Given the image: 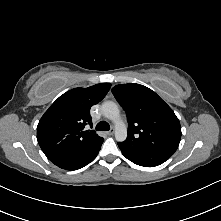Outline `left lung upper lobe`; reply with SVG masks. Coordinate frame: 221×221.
Masks as SVG:
<instances>
[{
	"instance_id": "1",
	"label": "left lung upper lobe",
	"mask_w": 221,
	"mask_h": 221,
	"mask_svg": "<svg viewBox=\"0 0 221 221\" xmlns=\"http://www.w3.org/2000/svg\"><path fill=\"white\" fill-rule=\"evenodd\" d=\"M126 111L131 146L174 154L181 139V126L173 110L151 89L139 84L112 88Z\"/></svg>"
}]
</instances>
